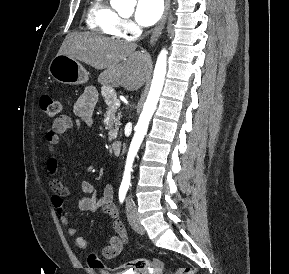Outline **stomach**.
Here are the masks:
<instances>
[{
	"instance_id": "0dacf381",
	"label": "stomach",
	"mask_w": 289,
	"mask_h": 274,
	"mask_svg": "<svg viewBox=\"0 0 289 274\" xmlns=\"http://www.w3.org/2000/svg\"><path fill=\"white\" fill-rule=\"evenodd\" d=\"M48 71L53 79L63 84L80 85L88 81L85 68L76 59L67 55L54 57Z\"/></svg>"
}]
</instances>
